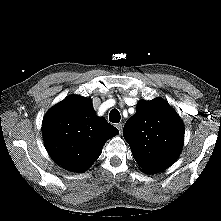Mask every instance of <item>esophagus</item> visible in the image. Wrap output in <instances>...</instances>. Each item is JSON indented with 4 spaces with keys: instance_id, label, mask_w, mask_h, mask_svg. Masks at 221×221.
<instances>
[{
    "instance_id": "1",
    "label": "esophagus",
    "mask_w": 221,
    "mask_h": 221,
    "mask_svg": "<svg viewBox=\"0 0 221 221\" xmlns=\"http://www.w3.org/2000/svg\"><path fill=\"white\" fill-rule=\"evenodd\" d=\"M116 127L118 128L119 132L122 133V130H123V125L121 123H118L116 125Z\"/></svg>"
}]
</instances>
